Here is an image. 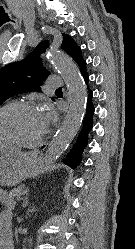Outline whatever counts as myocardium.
I'll return each mask as SVG.
<instances>
[{"label":"myocardium","instance_id":"1","mask_svg":"<svg viewBox=\"0 0 135 249\" xmlns=\"http://www.w3.org/2000/svg\"><path fill=\"white\" fill-rule=\"evenodd\" d=\"M14 107H20V108H26V109H39L38 105L31 101H12L0 107V115L7 109L14 108ZM46 133H47V129L45 128L42 135L34 141H24V140L16 139L11 136H3L0 134V142L1 144H14V145L22 146V147L32 148V147H37L38 145L42 143V141L45 138Z\"/></svg>","mask_w":135,"mask_h":249}]
</instances>
